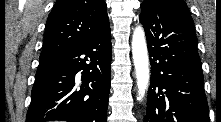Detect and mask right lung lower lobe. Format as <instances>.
<instances>
[{
	"mask_svg": "<svg viewBox=\"0 0 221 122\" xmlns=\"http://www.w3.org/2000/svg\"><path fill=\"white\" fill-rule=\"evenodd\" d=\"M111 54L109 29L40 61L26 122H107ZM80 70L81 80L76 76Z\"/></svg>",
	"mask_w": 221,
	"mask_h": 122,
	"instance_id": "1",
	"label": "right lung lower lobe"
}]
</instances>
